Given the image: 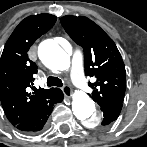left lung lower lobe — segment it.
I'll return each instance as SVG.
<instances>
[{
    "mask_svg": "<svg viewBox=\"0 0 147 147\" xmlns=\"http://www.w3.org/2000/svg\"><path fill=\"white\" fill-rule=\"evenodd\" d=\"M121 109H122V103H116V104H112V105L101 108V110L103 111V116H104L101 124L105 126L115 121L118 118Z\"/></svg>",
    "mask_w": 147,
    "mask_h": 147,
    "instance_id": "0a47b994",
    "label": "left lung lower lobe"
}]
</instances>
